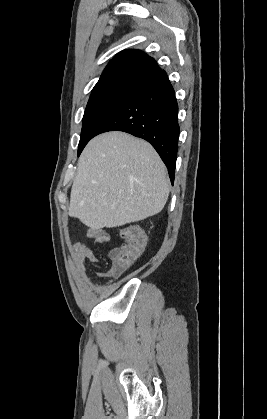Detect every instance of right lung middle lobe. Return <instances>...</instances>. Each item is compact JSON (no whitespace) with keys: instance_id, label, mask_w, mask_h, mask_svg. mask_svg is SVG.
<instances>
[{"instance_id":"obj_1","label":"right lung middle lobe","mask_w":267,"mask_h":419,"mask_svg":"<svg viewBox=\"0 0 267 419\" xmlns=\"http://www.w3.org/2000/svg\"><path fill=\"white\" fill-rule=\"evenodd\" d=\"M132 91L119 90L102 92L91 95L86 106L83 125L78 146V156L82 152L88 141L102 123V121L122 102Z\"/></svg>"}]
</instances>
